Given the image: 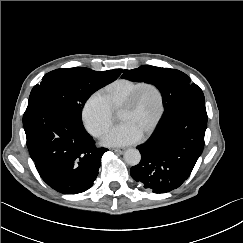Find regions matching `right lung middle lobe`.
Instances as JSON below:
<instances>
[{
	"label": "right lung middle lobe",
	"mask_w": 243,
	"mask_h": 243,
	"mask_svg": "<svg viewBox=\"0 0 243 243\" xmlns=\"http://www.w3.org/2000/svg\"><path fill=\"white\" fill-rule=\"evenodd\" d=\"M116 78L112 72L84 67L57 69L44 75L41 83L33 87L29 101L41 99L59 104L82 123L81 111L87 99Z\"/></svg>",
	"instance_id": "right-lung-middle-lobe-1"
}]
</instances>
